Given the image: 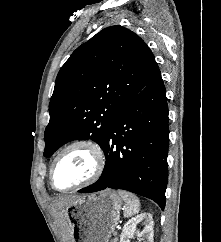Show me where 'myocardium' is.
Instances as JSON below:
<instances>
[{"label": "myocardium", "mask_w": 221, "mask_h": 242, "mask_svg": "<svg viewBox=\"0 0 221 242\" xmlns=\"http://www.w3.org/2000/svg\"><path fill=\"white\" fill-rule=\"evenodd\" d=\"M74 147H84L89 150V152L91 153V155L94 159L93 172L87 179L83 180L82 182H80L76 185H73L68 188H58L54 184V180H53L54 168H55L58 160L61 158V156L66 151H68L69 149L74 148ZM104 167H105V155H104L103 149L100 147V145L91 139H76V140H73V141L69 142L68 144H66L53 158L52 163L50 165V169H49V182H50V185L52 186V188H54L58 191H62V192L74 191V190L86 187V186L92 184L93 182H95L101 176V174L104 170Z\"/></svg>", "instance_id": "obj_1"}]
</instances>
